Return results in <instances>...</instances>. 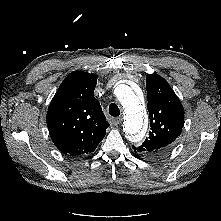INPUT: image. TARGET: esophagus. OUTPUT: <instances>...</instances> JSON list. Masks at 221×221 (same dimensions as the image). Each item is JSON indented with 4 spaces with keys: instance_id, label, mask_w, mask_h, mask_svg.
I'll return each instance as SVG.
<instances>
[{
    "instance_id": "34e87169",
    "label": "esophagus",
    "mask_w": 221,
    "mask_h": 221,
    "mask_svg": "<svg viewBox=\"0 0 221 221\" xmlns=\"http://www.w3.org/2000/svg\"><path fill=\"white\" fill-rule=\"evenodd\" d=\"M122 117H116L112 120L113 125L117 126L122 122Z\"/></svg>"
}]
</instances>
